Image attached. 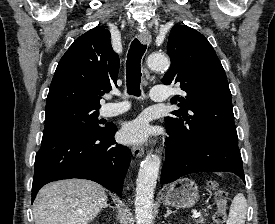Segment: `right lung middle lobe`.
Returning <instances> with one entry per match:
<instances>
[{
  "mask_svg": "<svg viewBox=\"0 0 275 224\" xmlns=\"http://www.w3.org/2000/svg\"><path fill=\"white\" fill-rule=\"evenodd\" d=\"M99 108L63 107L45 114V128L98 133L105 129L98 121Z\"/></svg>",
  "mask_w": 275,
  "mask_h": 224,
  "instance_id": "right-lung-middle-lobe-1",
  "label": "right lung middle lobe"
}]
</instances>
